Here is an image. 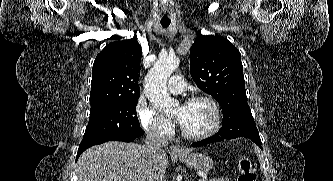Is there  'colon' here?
I'll return each instance as SVG.
<instances>
[{"label": "colon", "instance_id": "5ec220e1", "mask_svg": "<svg viewBox=\"0 0 333 181\" xmlns=\"http://www.w3.org/2000/svg\"><path fill=\"white\" fill-rule=\"evenodd\" d=\"M237 165L239 172L238 181H256V173L248 157L239 158Z\"/></svg>", "mask_w": 333, "mask_h": 181}]
</instances>
